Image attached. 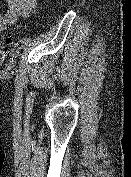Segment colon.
Wrapping results in <instances>:
<instances>
[{"instance_id":"obj_1","label":"colon","mask_w":131,"mask_h":177,"mask_svg":"<svg viewBox=\"0 0 131 177\" xmlns=\"http://www.w3.org/2000/svg\"><path fill=\"white\" fill-rule=\"evenodd\" d=\"M12 41L11 36H7L6 38V45L0 47V66L2 65V63L4 62L5 58H6V54H7V45L10 44Z\"/></svg>"}]
</instances>
